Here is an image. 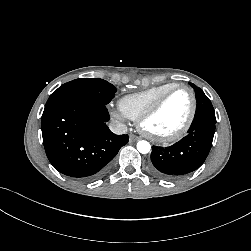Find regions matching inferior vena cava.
<instances>
[{"label":"inferior vena cava","instance_id":"inferior-vena-cava-1","mask_svg":"<svg viewBox=\"0 0 251 251\" xmlns=\"http://www.w3.org/2000/svg\"><path fill=\"white\" fill-rule=\"evenodd\" d=\"M109 129L114 134H117V135L126 134V132H127V126L121 122H118V121L110 123Z\"/></svg>","mask_w":251,"mask_h":251}]
</instances>
